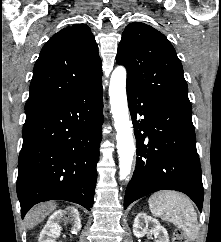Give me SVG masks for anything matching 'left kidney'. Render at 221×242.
<instances>
[{"label": "left kidney", "instance_id": "left-kidney-1", "mask_svg": "<svg viewBox=\"0 0 221 242\" xmlns=\"http://www.w3.org/2000/svg\"><path fill=\"white\" fill-rule=\"evenodd\" d=\"M134 236L140 238L146 234H153L157 238L156 242H169L167 230L159 221L146 213H139L133 224Z\"/></svg>", "mask_w": 221, "mask_h": 242}]
</instances>
